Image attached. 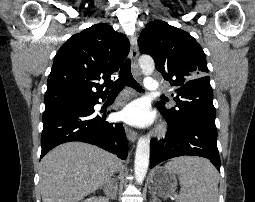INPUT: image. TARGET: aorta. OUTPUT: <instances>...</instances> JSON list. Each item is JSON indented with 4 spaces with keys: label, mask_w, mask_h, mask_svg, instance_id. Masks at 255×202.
<instances>
[{
    "label": "aorta",
    "mask_w": 255,
    "mask_h": 202,
    "mask_svg": "<svg viewBox=\"0 0 255 202\" xmlns=\"http://www.w3.org/2000/svg\"><path fill=\"white\" fill-rule=\"evenodd\" d=\"M139 65L144 75H151L155 69V63L150 56H141ZM150 159V143L145 137H140L137 142L134 172L136 182L141 184L147 174Z\"/></svg>",
    "instance_id": "obj_1"
}]
</instances>
